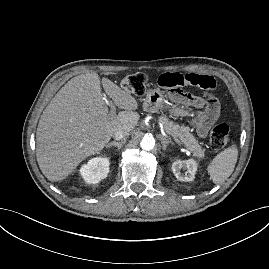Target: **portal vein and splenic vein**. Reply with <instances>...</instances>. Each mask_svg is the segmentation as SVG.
<instances>
[{"mask_svg": "<svg viewBox=\"0 0 269 269\" xmlns=\"http://www.w3.org/2000/svg\"><path fill=\"white\" fill-rule=\"evenodd\" d=\"M107 104L109 105V107L111 108V113L112 114H115L116 113V108L114 106V104L112 102H108L106 100ZM167 138H169V136L165 135ZM175 142L178 143L179 145H181V142L177 139V138H174Z\"/></svg>", "mask_w": 269, "mask_h": 269, "instance_id": "18ae733b", "label": "portal vein and splenic vein"}]
</instances>
